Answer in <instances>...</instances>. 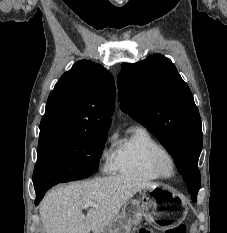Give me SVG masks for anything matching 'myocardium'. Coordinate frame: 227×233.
<instances>
[{"mask_svg": "<svg viewBox=\"0 0 227 233\" xmlns=\"http://www.w3.org/2000/svg\"><path fill=\"white\" fill-rule=\"evenodd\" d=\"M170 165L169 171L165 168V163ZM152 167L155 173L162 179H171L176 175L177 165L175 158L167 151L156 154L152 159Z\"/></svg>", "mask_w": 227, "mask_h": 233, "instance_id": "f54148a6", "label": "myocardium"}]
</instances>
